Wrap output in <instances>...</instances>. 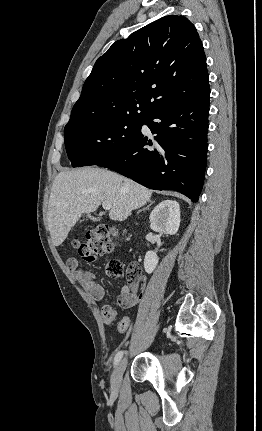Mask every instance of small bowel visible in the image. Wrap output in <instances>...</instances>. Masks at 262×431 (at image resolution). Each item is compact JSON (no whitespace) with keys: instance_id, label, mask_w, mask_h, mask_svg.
<instances>
[{"instance_id":"1","label":"small bowel","mask_w":262,"mask_h":431,"mask_svg":"<svg viewBox=\"0 0 262 431\" xmlns=\"http://www.w3.org/2000/svg\"><path fill=\"white\" fill-rule=\"evenodd\" d=\"M67 266L74 274L75 279L78 283L89 293L96 301L105 300V290L104 287L99 284L96 278L92 275L90 271L85 268L78 266V261L71 257L67 260ZM139 303V296L137 293V283L131 282L127 285H123L120 289V293L117 299V304L122 307L131 308L135 307ZM103 314L110 312L111 316L116 318L117 312L113 309L109 302H106L102 307ZM119 332H125L118 329Z\"/></svg>"}]
</instances>
